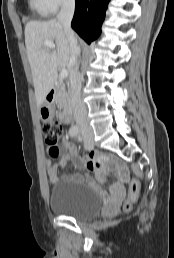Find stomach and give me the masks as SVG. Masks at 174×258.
Returning a JSON list of instances; mask_svg holds the SVG:
<instances>
[{
  "label": "stomach",
  "mask_w": 174,
  "mask_h": 258,
  "mask_svg": "<svg viewBox=\"0 0 174 258\" xmlns=\"http://www.w3.org/2000/svg\"><path fill=\"white\" fill-rule=\"evenodd\" d=\"M39 115L43 121L51 120L55 115V104L47 98L39 108Z\"/></svg>",
  "instance_id": "stomach-1"
}]
</instances>
